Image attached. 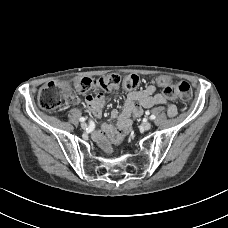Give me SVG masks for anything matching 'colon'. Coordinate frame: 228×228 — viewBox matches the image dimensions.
Segmentation results:
<instances>
[{
	"mask_svg": "<svg viewBox=\"0 0 228 228\" xmlns=\"http://www.w3.org/2000/svg\"><path fill=\"white\" fill-rule=\"evenodd\" d=\"M139 84L136 75H106L99 78L78 77L72 82L52 81L42 86L38 92V104L44 110H55L75 101L73 90L85 93L95 90L111 92L119 87L134 90ZM156 84L164 88V94L171 100L187 101L191 97V86L187 82L171 84L168 76H159Z\"/></svg>",
	"mask_w": 228,
	"mask_h": 228,
	"instance_id": "obj_1",
	"label": "colon"
}]
</instances>
